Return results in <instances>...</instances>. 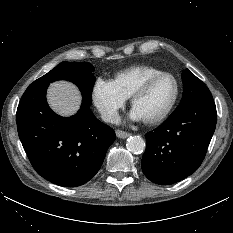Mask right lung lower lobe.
I'll return each mask as SVG.
<instances>
[{
  "label": "right lung lower lobe",
  "instance_id": "right-lung-lower-lobe-1",
  "mask_svg": "<svg viewBox=\"0 0 233 233\" xmlns=\"http://www.w3.org/2000/svg\"><path fill=\"white\" fill-rule=\"evenodd\" d=\"M48 85L32 83L23 94L16 113L18 135L39 175L60 186L76 187L98 172L116 135L84 100L72 117L55 114L46 101Z\"/></svg>",
  "mask_w": 233,
  "mask_h": 233
}]
</instances>
